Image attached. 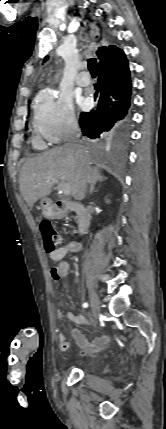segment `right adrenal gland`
Here are the masks:
<instances>
[{
	"mask_svg": "<svg viewBox=\"0 0 166 429\" xmlns=\"http://www.w3.org/2000/svg\"><path fill=\"white\" fill-rule=\"evenodd\" d=\"M105 180H107V177H104L103 175H101L100 173H98L95 181L92 182V184L90 186L89 194L91 195L94 192V187H95V185H96L97 182H102V181H105Z\"/></svg>",
	"mask_w": 166,
	"mask_h": 429,
	"instance_id": "right-adrenal-gland-1",
	"label": "right adrenal gland"
}]
</instances>
